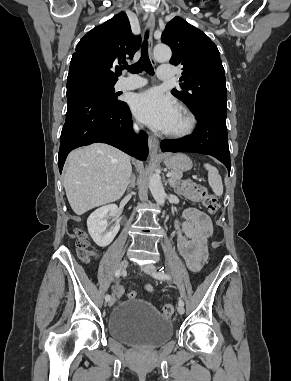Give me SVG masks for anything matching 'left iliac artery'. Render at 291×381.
I'll list each match as a JSON object with an SVG mask.
<instances>
[{
  "mask_svg": "<svg viewBox=\"0 0 291 381\" xmlns=\"http://www.w3.org/2000/svg\"><path fill=\"white\" fill-rule=\"evenodd\" d=\"M152 276L154 278L159 279V280H171V276L169 274L165 273L164 271H161V270L159 272L153 273ZM179 304L184 305V302L181 298L179 299Z\"/></svg>",
  "mask_w": 291,
  "mask_h": 381,
  "instance_id": "left-iliac-artery-1",
  "label": "left iliac artery"
}]
</instances>
